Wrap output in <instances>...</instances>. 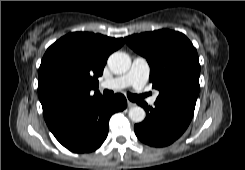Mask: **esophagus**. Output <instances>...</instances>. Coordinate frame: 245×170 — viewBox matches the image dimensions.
Returning a JSON list of instances; mask_svg holds the SVG:
<instances>
[{
    "instance_id": "1",
    "label": "esophagus",
    "mask_w": 245,
    "mask_h": 170,
    "mask_svg": "<svg viewBox=\"0 0 245 170\" xmlns=\"http://www.w3.org/2000/svg\"><path fill=\"white\" fill-rule=\"evenodd\" d=\"M127 104H128V107H129V108L136 105L135 103H133V102H131V101H127Z\"/></svg>"
}]
</instances>
